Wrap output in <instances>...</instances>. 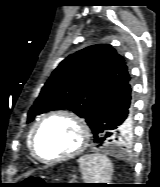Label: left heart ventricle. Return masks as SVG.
I'll return each instance as SVG.
<instances>
[{"instance_id":"obj_1","label":"left heart ventricle","mask_w":160,"mask_h":187,"mask_svg":"<svg viewBox=\"0 0 160 187\" xmlns=\"http://www.w3.org/2000/svg\"><path fill=\"white\" fill-rule=\"evenodd\" d=\"M80 139L79 128L71 119L55 116L41 126L36 138V148L42 158L54 159L74 150Z\"/></svg>"}]
</instances>
